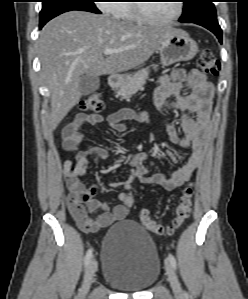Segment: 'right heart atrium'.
<instances>
[{
  "mask_svg": "<svg viewBox=\"0 0 248 299\" xmlns=\"http://www.w3.org/2000/svg\"><path fill=\"white\" fill-rule=\"evenodd\" d=\"M99 9L108 14L118 15L120 3L117 0H100L98 1Z\"/></svg>",
  "mask_w": 248,
  "mask_h": 299,
  "instance_id": "1",
  "label": "right heart atrium"
}]
</instances>
